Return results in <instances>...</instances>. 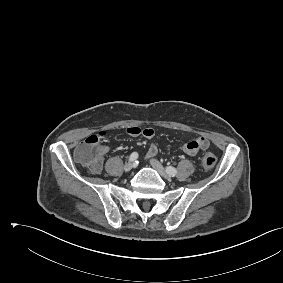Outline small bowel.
<instances>
[{
    "instance_id": "obj_1",
    "label": "small bowel",
    "mask_w": 283,
    "mask_h": 283,
    "mask_svg": "<svg viewBox=\"0 0 283 283\" xmlns=\"http://www.w3.org/2000/svg\"><path fill=\"white\" fill-rule=\"evenodd\" d=\"M126 132L128 135L132 137H137L142 135L146 138H151L154 135V131L151 128L141 129L136 126L128 127ZM208 147H209V140L202 136L190 140L182 145L183 151L189 156H195L199 152V150H205ZM107 150H108L107 147H102V153L106 152ZM157 152H158L157 146L153 144L150 145L147 152V158L154 157L157 154Z\"/></svg>"
}]
</instances>
